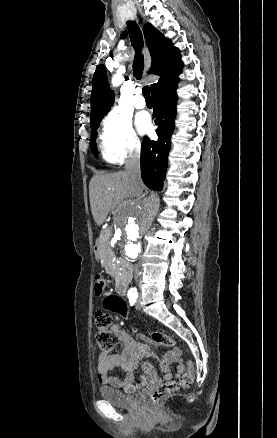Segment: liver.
Instances as JSON below:
<instances>
[{"instance_id": "1", "label": "liver", "mask_w": 277, "mask_h": 438, "mask_svg": "<svg viewBox=\"0 0 277 438\" xmlns=\"http://www.w3.org/2000/svg\"><path fill=\"white\" fill-rule=\"evenodd\" d=\"M90 206L94 222L101 226L106 220L112 206L118 214L119 205H138L137 198L143 190L131 188L126 172L93 176L90 186ZM127 220V219H121Z\"/></svg>"}]
</instances>
